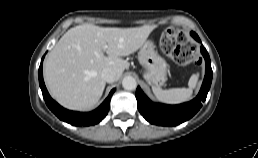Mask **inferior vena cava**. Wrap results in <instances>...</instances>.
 Wrapping results in <instances>:
<instances>
[{"instance_id": "inferior-vena-cava-1", "label": "inferior vena cava", "mask_w": 258, "mask_h": 158, "mask_svg": "<svg viewBox=\"0 0 258 158\" xmlns=\"http://www.w3.org/2000/svg\"><path fill=\"white\" fill-rule=\"evenodd\" d=\"M101 77L108 83H112L117 80L116 72L111 68H104L101 72Z\"/></svg>"}]
</instances>
